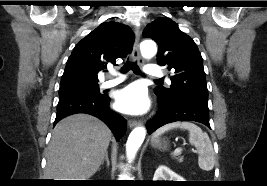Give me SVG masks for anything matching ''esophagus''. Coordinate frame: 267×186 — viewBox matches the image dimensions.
<instances>
[{
	"mask_svg": "<svg viewBox=\"0 0 267 186\" xmlns=\"http://www.w3.org/2000/svg\"><path fill=\"white\" fill-rule=\"evenodd\" d=\"M134 32H135V42L133 45L132 59L137 60L140 64H142L143 61L141 59L140 52H139L140 34H141L140 28L136 27ZM141 124H142V122L137 121V120H130L128 122V125L130 128H134V127L139 126Z\"/></svg>",
	"mask_w": 267,
	"mask_h": 186,
	"instance_id": "obj_1",
	"label": "esophagus"
}]
</instances>
